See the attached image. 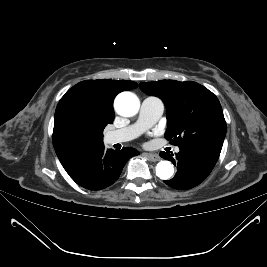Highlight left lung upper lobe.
<instances>
[{"instance_id": "1", "label": "left lung upper lobe", "mask_w": 267, "mask_h": 267, "mask_svg": "<svg viewBox=\"0 0 267 267\" xmlns=\"http://www.w3.org/2000/svg\"><path fill=\"white\" fill-rule=\"evenodd\" d=\"M140 89L164 102L168 126L165 138L171 144L222 149L226 122L219 100L207 88L192 81L161 80L140 83Z\"/></svg>"}]
</instances>
